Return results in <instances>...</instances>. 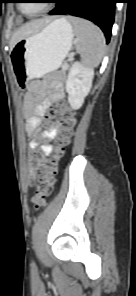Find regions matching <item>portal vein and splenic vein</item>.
<instances>
[{
    "mask_svg": "<svg viewBox=\"0 0 136 296\" xmlns=\"http://www.w3.org/2000/svg\"><path fill=\"white\" fill-rule=\"evenodd\" d=\"M68 67V64L65 63L63 66H62V69H66Z\"/></svg>",
    "mask_w": 136,
    "mask_h": 296,
    "instance_id": "18ae733b",
    "label": "portal vein and splenic vein"
}]
</instances>
